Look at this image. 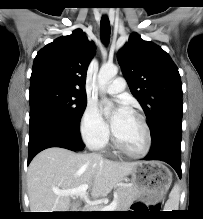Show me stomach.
<instances>
[{
    "label": "stomach",
    "mask_w": 203,
    "mask_h": 219,
    "mask_svg": "<svg viewBox=\"0 0 203 219\" xmlns=\"http://www.w3.org/2000/svg\"><path fill=\"white\" fill-rule=\"evenodd\" d=\"M131 180L138 196L146 197V202L155 204L168 192L172 173L161 162H138L131 172Z\"/></svg>",
    "instance_id": "1"
}]
</instances>
